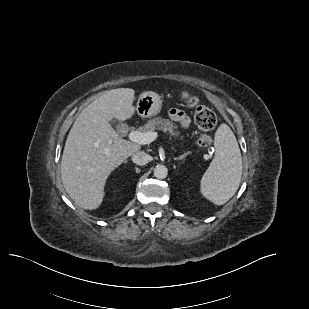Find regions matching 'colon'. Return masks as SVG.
<instances>
[{"instance_id": "colon-1", "label": "colon", "mask_w": 309, "mask_h": 309, "mask_svg": "<svg viewBox=\"0 0 309 309\" xmlns=\"http://www.w3.org/2000/svg\"><path fill=\"white\" fill-rule=\"evenodd\" d=\"M182 98L189 107L194 109V121L199 129L204 132L214 129L217 124V117L210 108L201 105L198 98L188 92H184ZM211 142V137L207 134L201 135L198 139V145L201 147H207Z\"/></svg>"}]
</instances>
